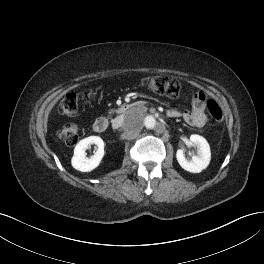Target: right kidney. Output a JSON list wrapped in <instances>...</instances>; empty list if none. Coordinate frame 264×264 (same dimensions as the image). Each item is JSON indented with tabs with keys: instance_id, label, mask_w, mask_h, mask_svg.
Segmentation results:
<instances>
[{
	"instance_id": "1",
	"label": "right kidney",
	"mask_w": 264,
	"mask_h": 264,
	"mask_svg": "<svg viewBox=\"0 0 264 264\" xmlns=\"http://www.w3.org/2000/svg\"><path fill=\"white\" fill-rule=\"evenodd\" d=\"M97 145L94 155L90 158L86 157V149L91 145ZM104 156V142L99 136H89L82 139L74 149V155L71 163L73 168L81 172H90L99 166Z\"/></svg>"
}]
</instances>
